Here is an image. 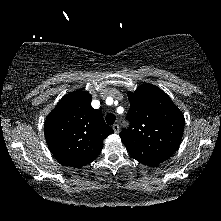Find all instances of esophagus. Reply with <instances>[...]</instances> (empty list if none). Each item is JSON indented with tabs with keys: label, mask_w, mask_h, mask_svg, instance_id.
I'll return each mask as SVG.
<instances>
[{
	"label": "esophagus",
	"mask_w": 221,
	"mask_h": 221,
	"mask_svg": "<svg viewBox=\"0 0 221 221\" xmlns=\"http://www.w3.org/2000/svg\"><path fill=\"white\" fill-rule=\"evenodd\" d=\"M112 129H113V131H114L115 133H119L120 127H119L118 124H114V125L112 126Z\"/></svg>",
	"instance_id": "esophagus-1"
}]
</instances>
